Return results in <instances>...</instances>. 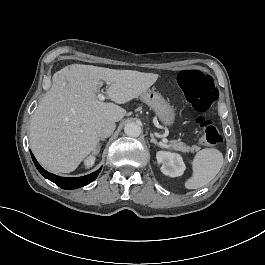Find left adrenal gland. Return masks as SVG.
I'll list each match as a JSON object with an SVG mask.
<instances>
[{
	"label": "left adrenal gland",
	"instance_id": "obj_1",
	"mask_svg": "<svg viewBox=\"0 0 265 265\" xmlns=\"http://www.w3.org/2000/svg\"><path fill=\"white\" fill-rule=\"evenodd\" d=\"M150 137H151V140H150L151 143H154V144H156L157 146L163 148V146H161V145L157 142V140L154 138V135H153L152 133L150 134Z\"/></svg>",
	"mask_w": 265,
	"mask_h": 265
}]
</instances>
